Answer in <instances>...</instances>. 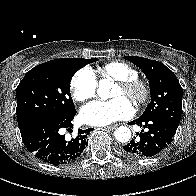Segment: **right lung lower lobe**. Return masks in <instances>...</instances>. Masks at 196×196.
<instances>
[{"mask_svg": "<svg viewBox=\"0 0 196 196\" xmlns=\"http://www.w3.org/2000/svg\"><path fill=\"white\" fill-rule=\"evenodd\" d=\"M76 112L65 117L42 115L19 125L21 137L27 150L41 161L62 165L75 160L88 144L86 136L92 128L81 130L71 140L61 134L63 128L70 130Z\"/></svg>", "mask_w": 196, "mask_h": 196, "instance_id": "obj_1", "label": "right lung lower lobe"}]
</instances>
